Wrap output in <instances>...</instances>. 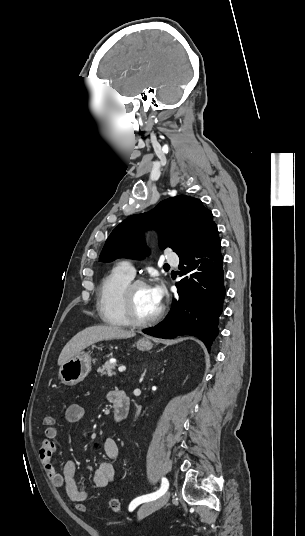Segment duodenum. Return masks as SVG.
Returning <instances> with one entry per match:
<instances>
[{"instance_id":"1","label":"duodenum","mask_w":305,"mask_h":536,"mask_svg":"<svg viewBox=\"0 0 305 536\" xmlns=\"http://www.w3.org/2000/svg\"><path fill=\"white\" fill-rule=\"evenodd\" d=\"M112 402L114 405L115 418L120 421L128 416L130 409V401L126 393L122 390L115 391Z\"/></svg>"}]
</instances>
